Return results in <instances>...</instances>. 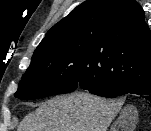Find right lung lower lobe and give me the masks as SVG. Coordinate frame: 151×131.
I'll return each instance as SVG.
<instances>
[{
	"label": "right lung lower lobe",
	"instance_id": "obj_1",
	"mask_svg": "<svg viewBox=\"0 0 151 131\" xmlns=\"http://www.w3.org/2000/svg\"><path fill=\"white\" fill-rule=\"evenodd\" d=\"M79 87L88 90L90 93L106 97L116 98L125 94H137L151 102V81L135 84H117L108 83L93 84L90 81L79 83Z\"/></svg>",
	"mask_w": 151,
	"mask_h": 131
}]
</instances>
